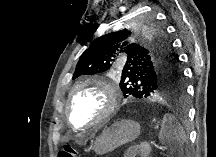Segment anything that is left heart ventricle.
Wrapping results in <instances>:
<instances>
[{
    "label": "left heart ventricle",
    "mask_w": 216,
    "mask_h": 157,
    "mask_svg": "<svg viewBox=\"0 0 216 157\" xmlns=\"http://www.w3.org/2000/svg\"><path fill=\"white\" fill-rule=\"evenodd\" d=\"M105 97L94 88H84L76 92L71 105V115L76 125H84L94 120L105 106Z\"/></svg>",
    "instance_id": "obj_1"
}]
</instances>
